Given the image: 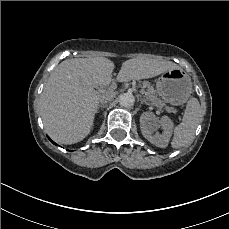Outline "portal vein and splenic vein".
Returning a JSON list of instances; mask_svg holds the SVG:
<instances>
[{
    "label": "portal vein and splenic vein",
    "instance_id": "1",
    "mask_svg": "<svg viewBox=\"0 0 229 229\" xmlns=\"http://www.w3.org/2000/svg\"><path fill=\"white\" fill-rule=\"evenodd\" d=\"M114 89H116V85H115V84H113V85H111V86L109 87V90H114Z\"/></svg>",
    "mask_w": 229,
    "mask_h": 229
}]
</instances>
